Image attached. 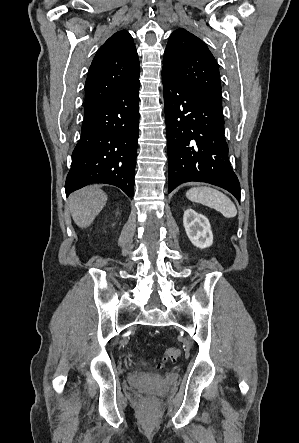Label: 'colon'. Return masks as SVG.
Wrapping results in <instances>:
<instances>
[{
    "instance_id": "colon-1",
    "label": "colon",
    "mask_w": 299,
    "mask_h": 443,
    "mask_svg": "<svg viewBox=\"0 0 299 443\" xmlns=\"http://www.w3.org/2000/svg\"><path fill=\"white\" fill-rule=\"evenodd\" d=\"M180 356H181V351H180L179 348H177V347L169 348V349L165 352V354H164V356H163L161 362H159V363L157 364V367L161 368V367L164 365V363H165L166 361H174V360H177ZM147 401H148L149 403H155V399H154L153 397H148V398H147Z\"/></svg>"
}]
</instances>
